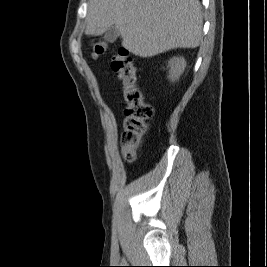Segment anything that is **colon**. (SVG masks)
<instances>
[{"instance_id": "obj_1", "label": "colon", "mask_w": 267, "mask_h": 267, "mask_svg": "<svg viewBox=\"0 0 267 267\" xmlns=\"http://www.w3.org/2000/svg\"><path fill=\"white\" fill-rule=\"evenodd\" d=\"M107 44L103 41L92 43L94 58L105 54ZM112 70L122 84V99L125 105L123 132L121 135L122 154L126 161H133L142 144L147 130V121L153 116V107L144 101L138 85L137 68L129 51L119 48L112 58Z\"/></svg>"}]
</instances>
